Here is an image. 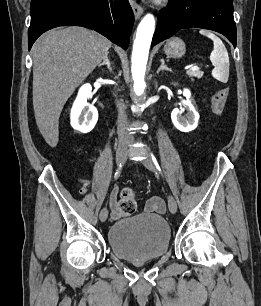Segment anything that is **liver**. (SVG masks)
<instances>
[{
  "instance_id": "6515ba94",
  "label": "liver",
  "mask_w": 261,
  "mask_h": 306,
  "mask_svg": "<svg viewBox=\"0 0 261 306\" xmlns=\"http://www.w3.org/2000/svg\"><path fill=\"white\" fill-rule=\"evenodd\" d=\"M111 42L89 29L58 28L32 47L33 108L40 133L51 147L59 140V117L75 89L104 60Z\"/></svg>"
}]
</instances>
